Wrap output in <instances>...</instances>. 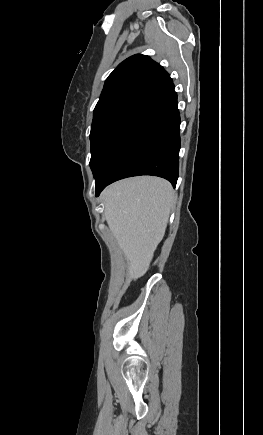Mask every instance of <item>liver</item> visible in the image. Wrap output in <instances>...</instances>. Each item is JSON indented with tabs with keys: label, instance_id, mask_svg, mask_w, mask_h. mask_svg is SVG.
Segmentation results:
<instances>
[{
	"label": "liver",
	"instance_id": "obj_1",
	"mask_svg": "<svg viewBox=\"0 0 263 435\" xmlns=\"http://www.w3.org/2000/svg\"><path fill=\"white\" fill-rule=\"evenodd\" d=\"M105 218L128 260V274L138 279L149 269L154 251L163 239L174 192L157 177L129 178L102 192Z\"/></svg>",
	"mask_w": 263,
	"mask_h": 435
}]
</instances>
